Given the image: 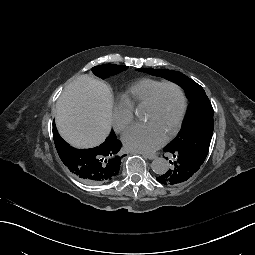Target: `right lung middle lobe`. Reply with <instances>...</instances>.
<instances>
[{
    "label": "right lung middle lobe",
    "instance_id": "obj_1",
    "mask_svg": "<svg viewBox=\"0 0 255 255\" xmlns=\"http://www.w3.org/2000/svg\"><path fill=\"white\" fill-rule=\"evenodd\" d=\"M128 67L124 65H115V64H104L95 66L92 68V72L102 78L105 79L109 76L116 75L124 70H126Z\"/></svg>",
    "mask_w": 255,
    "mask_h": 255
}]
</instances>
